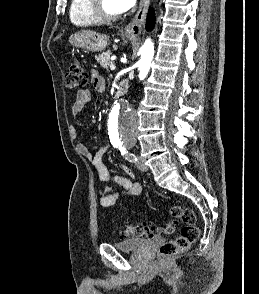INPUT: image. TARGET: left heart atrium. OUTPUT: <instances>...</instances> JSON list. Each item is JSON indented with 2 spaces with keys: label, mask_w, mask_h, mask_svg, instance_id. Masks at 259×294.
I'll return each mask as SVG.
<instances>
[{
  "label": "left heart atrium",
  "mask_w": 259,
  "mask_h": 294,
  "mask_svg": "<svg viewBox=\"0 0 259 294\" xmlns=\"http://www.w3.org/2000/svg\"><path fill=\"white\" fill-rule=\"evenodd\" d=\"M115 1L121 12L127 11L130 8H132L136 2V0H115Z\"/></svg>",
  "instance_id": "1"
}]
</instances>
